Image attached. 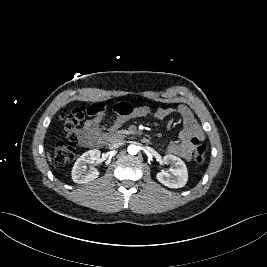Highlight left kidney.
Wrapping results in <instances>:
<instances>
[{
    "label": "left kidney",
    "mask_w": 267,
    "mask_h": 267,
    "mask_svg": "<svg viewBox=\"0 0 267 267\" xmlns=\"http://www.w3.org/2000/svg\"><path fill=\"white\" fill-rule=\"evenodd\" d=\"M163 163L171 166V173L162 170L157 173V180L169 188L184 187L188 181V171L185 163L174 155L164 156Z\"/></svg>",
    "instance_id": "left-kidney-1"
}]
</instances>
